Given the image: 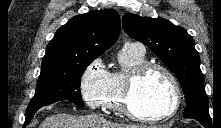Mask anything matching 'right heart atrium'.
I'll list each match as a JSON object with an SVG mask.
<instances>
[{"label": "right heart atrium", "mask_w": 221, "mask_h": 128, "mask_svg": "<svg viewBox=\"0 0 221 128\" xmlns=\"http://www.w3.org/2000/svg\"><path fill=\"white\" fill-rule=\"evenodd\" d=\"M108 74L101 58L91 61L83 71L80 92L83 100L91 109L101 107L102 95L108 83Z\"/></svg>", "instance_id": "obj_1"}]
</instances>
